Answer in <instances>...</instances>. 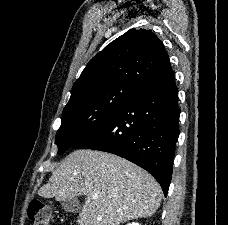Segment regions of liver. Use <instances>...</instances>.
Masks as SVG:
<instances>
[{
	"mask_svg": "<svg viewBox=\"0 0 228 225\" xmlns=\"http://www.w3.org/2000/svg\"><path fill=\"white\" fill-rule=\"evenodd\" d=\"M161 193L159 183L137 165L91 149L67 155L50 183L38 191L40 197L56 201L84 195L78 225H120L152 217L160 207Z\"/></svg>",
	"mask_w": 228,
	"mask_h": 225,
	"instance_id": "liver-1",
	"label": "liver"
}]
</instances>
